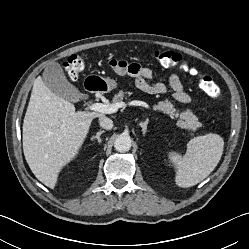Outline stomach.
<instances>
[{"mask_svg": "<svg viewBox=\"0 0 249 249\" xmlns=\"http://www.w3.org/2000/svg\"><path fill=\"white\" fill-rule=\"evenodd\" d=\"M99 79V82H100V90L102 92H110L111 90L117 88L118 84L117 82L114 80V79H111L109 77H101V76H98L97 77Z\"/></svg>", "mask_w": 249, "mask_h": 249, "instance_id": "1", "label": "stomach"}]
</instances>
